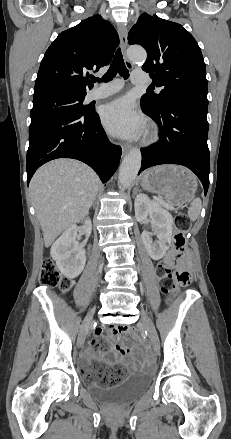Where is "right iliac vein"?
I'll return each mask as SVG.
<instances>
[{
  "instance_id": "obj_1",
  "label": "right iliac vein",
  "mask_w": 231,
  "mask_h": 439,
  "mask_svg": "<svg viewBox=\"0 0 231 439\" xmlns=\"http://www.w3.org/2000/svg\"><path fill=\"white\" fill-rule=\"evenodd\" d=\"M91 326V320L87 319L83 325L81 326L80 332H79V336H78V345L79 347H82L84 342H85V338L87 333L89 332Z\"/></svg>"
}]
</instances>
